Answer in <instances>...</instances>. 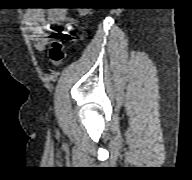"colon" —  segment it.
<instances>
[{
    "label": "colon",
    "instance_id": "5ec220e1",
    "mask_svg": "<svg viewBox=\"0 0 192 180\" xmlns=\"http://www.w3.org/2000/svg\"><path fill=\"white\" fill-rule=\"evenodd\" d=\"M68 39H70V34L65 30L57 31L53 35V39L48 51L49 60L53 69L59 67L62 64L65 56L64 42Z\"/></svg>",
    "mask_w": 192,
    "mask_h": 180
}]
</instances>
